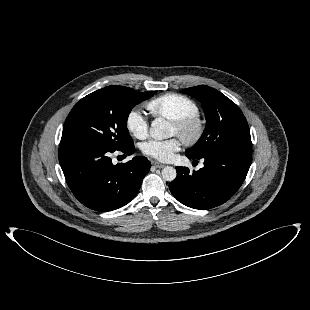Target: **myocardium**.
Masks as SVG:
<instances>
[{"label":"myocardium","mask_w":310,"mask_h":310,"mask_svg":"<svg viewBox=\"0 0 310 310\" xmlns=\"http://www.w3.org/2000/svg\"><path fill=\"white\" fill-rule=\"evenodd\" d=\"M172 124L177 128L178 136L187 145L198 143L205 132L204 120L198 114L175 119Z\"/></svg>","instance_id":"obj_1"}]
</instances>
